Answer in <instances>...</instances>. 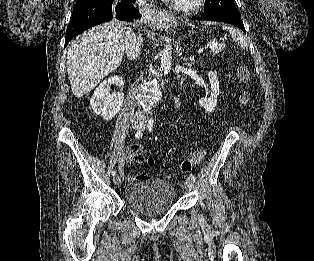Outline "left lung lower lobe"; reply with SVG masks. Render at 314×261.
<instances>
[{
	"mask_svg": "<svg viewBox=\"0 0 314 261\" xmlns=\"http://www.w3.org/2000/svg\"><path fill=\"white\" fill-rule=\"evenodd\" d=\"M192 19H194V20H196V19H198V20H210V21H217V22H224V23L232 24V25L240 28L241 30H243L246 33L243 22H242L240 17H209L206 15H203V17H193Z\"/></svg>",
	"mask_w": 314,
	"mask_h": 261,
	"instance_id": "obj_1",
	"label": "left lung lower lobe"
}]
</instances>
